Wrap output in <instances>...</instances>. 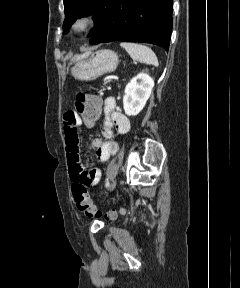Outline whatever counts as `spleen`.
Instances as JSON below:
<instances>
[{"label":"spleen","mask_w":240,"mask_h":288,"mask_svg":"<svg viewBox=\"0 0 240 288\" xmlns=\"http://www.w3.org/2000/svg\"><path fill=\"white\" fill-rule=\"evenodd\" d=\"M120 45L129 53L133 60L156 67L159 65L155 53L148 46L130 42H122Z\"/></svg>","instance_id":"spleen-1"}]
</instances>
